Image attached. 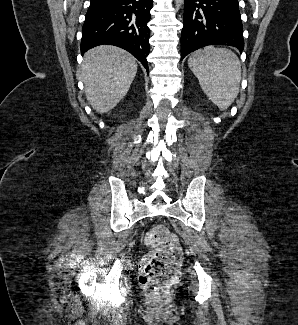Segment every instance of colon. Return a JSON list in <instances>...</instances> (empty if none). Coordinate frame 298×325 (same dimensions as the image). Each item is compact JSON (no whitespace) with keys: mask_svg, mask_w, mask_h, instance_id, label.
I'll return each instance as SVG.
<instances>
[{"mask_svg":"<svg viewBox=\"0 0 298 325\" xmlns=\"http://www.w3.org/2000/svg\"><path fill=\"white\" fill-rule=\"evenodd\" d=\"M151 250L142 259L139 281L149 291L164 294L177 281L183 251L177 236L164 225H157L145 235Z\"/></svg>","mask_w":298,"mask_h":325,"instance_id":"1","label":"colon"}]
</instances>
